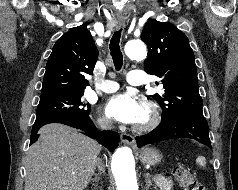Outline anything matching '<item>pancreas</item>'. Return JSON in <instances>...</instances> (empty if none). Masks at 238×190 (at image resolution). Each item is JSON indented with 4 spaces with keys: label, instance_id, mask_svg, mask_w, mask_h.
I'll list each match as a JSON object with an SVG mask.
<instances>
[{
    "label": "pancreas",
    "instance_id": "cf45deb5",
    "mask_svg": "<svg viewBox=\"0 0 238 190\" xmlns=\"http://www.w3.org/2000/svg\"><path fill=\"white\" fill-rule=\"evenodd\" d=\"M154 181L156 187H158L160 190H172L173 181L171 179H167L160 175L154 178Z\"/></svg>",
    "mask_w": 238,
    "mask_h": 190
}]
</instances>
